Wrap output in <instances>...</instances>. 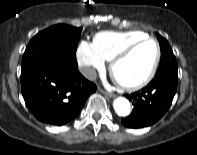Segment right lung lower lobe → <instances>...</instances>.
I'll use <instances>...</instances> for the list:
<instances>
[{
    "mask_svg": "<svg viewBox=\"0 0 197 155\" xmlns=\"http://www.w3.org/2000/svg\"><path fill=\"white\" fill-rule=\"evenodd\" d=\"M21 89L39 121L62 126L77 116L97 87L79 73L76 56L53 53L21 70Z\"/></svg>",
    "mask_w": 197,
    "mask_h": 155,
    "instance_id": "98d812e1",
    "label": "right lung lower lobe"
}]
</instances>
